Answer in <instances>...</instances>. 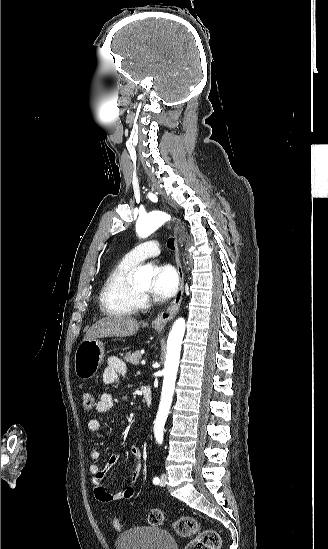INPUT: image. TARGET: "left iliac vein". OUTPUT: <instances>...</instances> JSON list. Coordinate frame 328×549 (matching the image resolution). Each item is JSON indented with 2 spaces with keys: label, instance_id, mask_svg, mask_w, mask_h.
Listing matches in <instances>:
<instances>
[{
  "label": "left iliac vein",
  "instance_id": "4c4485c4",
  "mask_svg": "<svg viewBox=\"0 0 328 549\" xmlns=\"http://www.w3.org/2000/svg\"><path fill=\"white\" fill-rule=\"evenodd\" d=\"M166 478H167V475H166V474H162V475H161V479H160V485H161V486H165V484H166Z\"/></svg>",
  "mask_w": 328,
  "mask_h": 549
}]
</instances>
